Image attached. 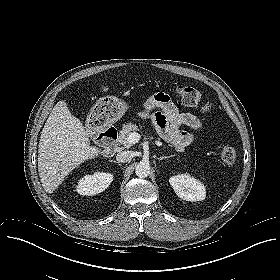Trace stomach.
I'll return each instance as SVG.
<instances>
[{
	"label": "stomach",
	"instance_id": "0dacf381",
	"mask_svg": "<svg viewBox=\"0 0 280 280\" xmlns=\"http://www.w3.org/2000/svg\"><path fill=\"white\" fill-rule=\"evenodd\" d=\"M128 104L114 96H106L97 102L95 110L98 111L107 124L118 121L127 111Z\"/></svg>",
	"mask_w": 280,
	"mask_h": 280
}]
</instances>
